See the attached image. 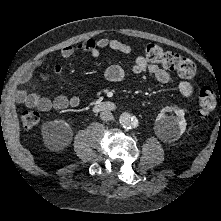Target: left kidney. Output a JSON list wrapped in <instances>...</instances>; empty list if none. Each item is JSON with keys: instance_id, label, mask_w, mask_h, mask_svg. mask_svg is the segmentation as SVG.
I'll list each match as a JSON object with an SVG mask.
<instances>
[{"instance_id": "1", "label": "left kidney", "mask_w": 221, "mask_h": 221, "mask_svg": "<svg viewBox=\"0 0 221 221\" xmlns=\"http://www.w3.org/2000/svg\"><path fill=\"white\" fill-rule=\"evenodd\" d=\"M174 111L176 117L166 116V112ZM185 112L183 109L177 107H164L158 114L155 121V130L157 134L169 141L177 140L186 130V120L184 118Z\"/></svg>"}]
</instances>
